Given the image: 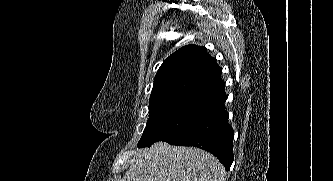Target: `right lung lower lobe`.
<instances>
[{"instance_id":"1","label":"right lung lower lobe","mask_w":333,"mask_h":181,"mask_svg":"<svg viewBox=\"0 0 333 181\" xmlns=\"http://www.w3.org/2000/svg\"><path fill=\"white\" fill-rule=\"evenodd\" d=\"M224 103L209 109L202 119L181 136L167 141L171 145L195 146L215 155L230 169L233 162L234 131L228 123Z\"/></svg>"}]
</instances>
